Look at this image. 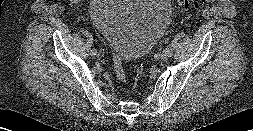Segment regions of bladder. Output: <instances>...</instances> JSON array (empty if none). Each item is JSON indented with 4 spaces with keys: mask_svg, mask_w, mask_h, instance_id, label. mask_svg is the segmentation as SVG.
<instances>
[{
    "mask_svg": "<svg viewBox=\"0 0 253 131\" xmlns=\"http://www.w3.org/2000/svg\"><path fill=\"white\" fill-rule=\"evenodd\" d=\"M89 10L107 44L127 61L153 47L172 15L170 0H91Z\"/></svg>",
    "mask_w": 253,
    "mask_h": 131,
    "instance_id": "31cf9c89",
    "label": "bladder"
}]
</instances>
